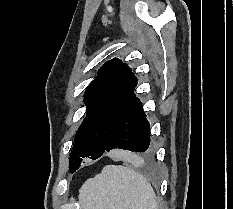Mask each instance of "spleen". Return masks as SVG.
I'll return each mask as SVG.
<instances>
[{
	"label": "spleen",
	"instance_id": "1",
	"mask_svg": "<svg viewBox=\"0 0 233 209\" xmlns=\"http://www.w3.org/2000/svg\"><path fill=\"white\" fill-rule=\"evenodd\" d=\"M81 209H158L155 192L141 174L107 165L79 190Z\"/></svg>",
	"mask_w": 233,
	"mask_h": 209
}]
</instances>
